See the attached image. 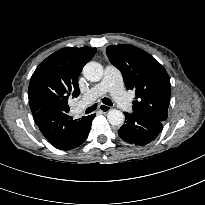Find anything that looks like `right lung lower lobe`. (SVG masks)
Returning <instances> with one entry per match:
<instances>
[{
	"instance_id": "98d812e1",
	"label": "right lung lower lobe",
	"mask_w": 205,
	"mask_h": 205,
	"mask_svg": "<svg viewBox=\"0 0 205 205\" xmlns=\"http://www.w3.org/2000/svg\"><path fill=\"white\" fill-rule=\"evenodd\" d=\"M95 114L73 119L67 112L47 106L33 114V119L45 138L56 148L70 150L88 137Z\"/></svg>"
}]
</instances>
